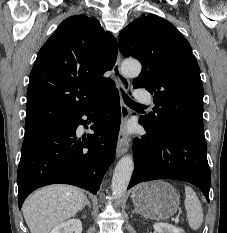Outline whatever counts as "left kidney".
<instances>
[{"label":"left kidney","mask_w":227,"mask_h":233,"mask_svg":"<svg viewBox=\"0 0 227 233\" xmlns=\"http://www.w3.org/2000/svg\"><path fill=\"white\" fill-rule=\"evenodd\" d=\"M153 227L158 233H182L179 228L167 223H155Z\"/></svg>","instance_id":"5707ae66"}]
</instances>
